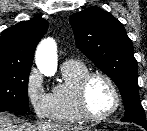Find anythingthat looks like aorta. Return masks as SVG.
<instances>
[{
	"label": "aorta",
	"mask_w": 147,
	"mask_h": 131,
	"mask_svg": "<svg viewBox=\"0 0 147 131\" xmlns=\"http://www.w3.org/2000/svg\"><path fill=\"white\" fill-rule=\"evenodd\" d=\"M36 65L46 76H53L57 70V49L51 39L43 40L36 50Z\"/></svg>",
	"instance_id": "762f6f07"
}]
</instances>
